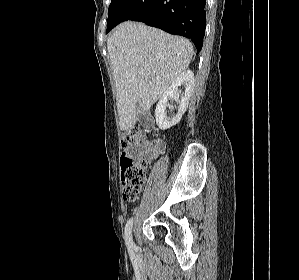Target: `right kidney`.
I'll return each instance as SVG.
<instances>
[{
	"mask_svg": "<svg viewBox=\"0 0 299 280\" xmlns=\"http://www.w3.org/2000/svg\"><path fill=\"white\" fill-rule=\"evenodd\" d=\"M181 85L185 86V91L183 93L178 90V87ZM193 86L194 73L191 70H186L182 72L164 92L155 109L156 124L161 130L169 129L180 122L183 114L187 110ZM180 94L181 100H179ZM171 98L179 102L178 112L172 119L166 115V107Z\"/></svg>",
	"mask_w": 299,
	"mask_h": 280,
	"instance_id": "ca27d5eb",
	"label": "right kidney"
}]
</instances>
